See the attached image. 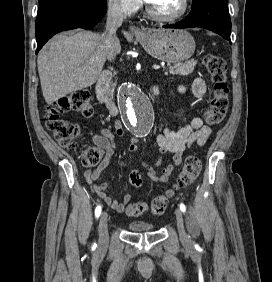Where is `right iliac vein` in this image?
I'll use <instances>...</instances> for the list:
<instances>
[{"label": "right iliac vein", "mask_w": 272, "mask_h": 282, "mask_svg": "<svg viewBox=\"0 0 272 282\" xmlns=\"http://www.w3.org/2000/svg\"><path fill=\"white\" fill-rule=\"evenodd\" d=\"M98 232L100 243L105 245L108 241V215L106 212H103L100 216Z\"/></svg>", "instance_id": "obj_1"}]
</instances>
